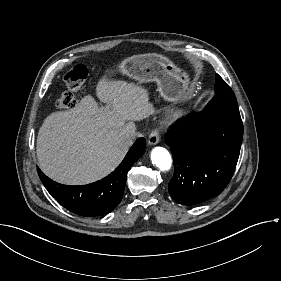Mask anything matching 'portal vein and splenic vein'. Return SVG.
I'll return each mask as SVG.
<instances>
[{"label":"portal vein and splenic vein","mask_w":281,"mask_h":281,"mask_svg":"<svg viewBox=\"0 0 281 281\" xmlns=\"http://www.w3.org/2000/svg\"><path fill=\"white\" fill-rule=\"evenodd\" d=\"M102 110L104 112H108L110 110V106L108 105V106L102 107Z\"/></svg>","instance_id":"portal-vein-and-splenic-vein-1"}]
</instances>
